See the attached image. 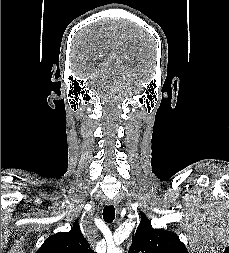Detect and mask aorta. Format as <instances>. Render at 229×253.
Listing matches in <instances>:
<instances>
[{
  "mask_svg": "<svg viewBox=\"0 0 229 253\" xmlns=\"http://www.w3.org/2000/svg\"><path fill=\"white\" fill-rule=\"evenodd\" d=\"M107 253H122V250L120 248H109Z\"/></svg>",
  "mask_w": 229,
  "mask_h": 253,
  "instance_id": "obj_1",
  "label": "aorta"
}]
</instances>
